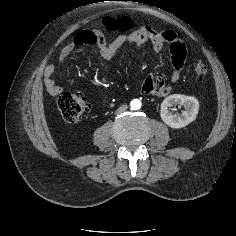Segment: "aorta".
<instances>
[{"label":"aorta","mask_w":236,"mask_h":236,"mask_svg":"<svg viewBox=\"0 0 236 236\" xmlns=\"http://www.w3.org/2000/svg\"><path fill=\"white\" fill-rule=\"evenodd\" d=\"M142 106V103L139 99H133L131 102H130V107L131 109L133 110H138L140 109Z\"/></svg>","instance_id":"762f6f07"}]
</instances>
